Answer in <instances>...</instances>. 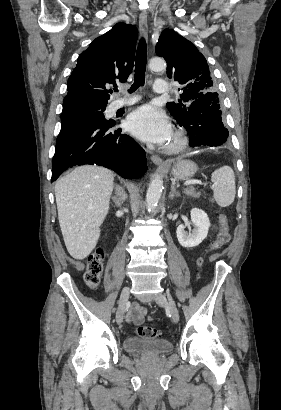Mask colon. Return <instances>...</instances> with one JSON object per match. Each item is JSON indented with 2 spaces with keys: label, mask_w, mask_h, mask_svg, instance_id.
Masks as SVG:
<instances>
[{
  "label": "colon",
  "mask_w": 281,
  "mask_h": 410,
  "mask_svg": "<svg viewBox=\"0 0 281 410\" xmlns=\"http://www.w3.org/2000/svg\"><path fill=\"white\" fill-rule=\"evenodd\" d=\"M229 240L228 234V227L226 217L224 215L220 216V230L216 238L210 244V250H218L223 245H225ZM104 250L102 248H98L96 252L90 255L88 259L87 269L84 275L85 282L90 288H96L101 280V276L103 273V260H104ZM202 260H200V263ZM136 333L138 336L146 339H154L161 335L160 331L148 327V326H139L136 329Z\"/></svg>",
  "instance_id": "5ec220e1"
}]
</instances>
